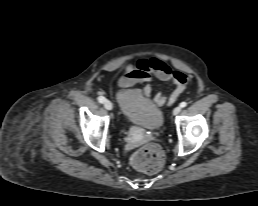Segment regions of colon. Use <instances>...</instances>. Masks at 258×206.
I'll return each instance as SVG.
<instances>
[{
	"instance_id": "obj_1",
	"label": "colon",
	"mask_w": 258,
	"mask_h": 206,
	"mask_svg": "<svg viewBox=\"0 0 258 206\" xmlns=\"http://www.w3.org/2000/svg\"><path fill=\"white\" fill-rule=\"evenodd\" d=\"M132 165L143 172H158L164 164V153L159 145L149 143L138 149L131 158Z\"/></svg>"
}]
</instances>
